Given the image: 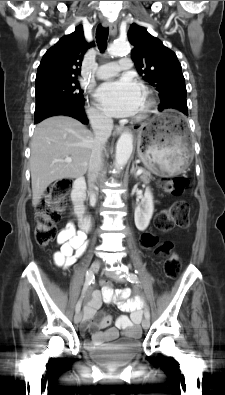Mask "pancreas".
<instances>
[{
	"mask_svg": "<svg viewBox=\"0 0 225 395\" xmlns=\"http://www.w3.org/2000/svg\"><path fill=\"white\" fill-rule=\"evenodd\" d=\"M150 178H152L151 173L149 171L143 169L141 179L143 181L147 182Z\"/></svg>",
	"mask_w": 225,
	"mask_h": 395,
	"instance_id": "obj_1",
	"label": "pancreas"
}]
</instances>
